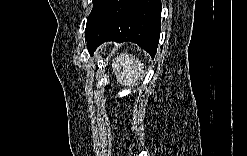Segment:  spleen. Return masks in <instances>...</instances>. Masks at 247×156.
I'll use <instances>...</instances> for the list:
<instances>
[{
	"label": "spleen",
	"instance_id": "obj_1",
	"mask_svg": "<svg viewBox=\"0 0 247 156\" xmlns=\"http://www.w3.org/2000/svg\"><path fill=\"white\" fill-rule=\"evenodd\" d=\"M117 82L129 86L140 81L144 74V65L138 58L128 53L119 54L112 62Z\"/></svg>",
	"mask_w": 247,
	"mask_h": 156
}]
</instances>
